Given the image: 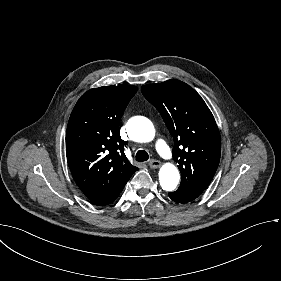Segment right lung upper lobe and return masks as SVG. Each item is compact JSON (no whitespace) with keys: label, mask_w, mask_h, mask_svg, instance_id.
<instances>
[{"label":"right lung upper lobe","mask_w":281,"mask_h":281,"mask_svg":"<svg viewBox=\"0 0 281 281\" xmlns=\"http://www.w3.org/2000/svg\"><path fill=\"white\" fill-rule=\"evenodd\" d=\"M137 87L90 89L76 103L66 131V155L72 176L90 199L128 180L138 170L124 154L119 122Z\"/></svg>","instance_id":"obj_1"}]
</instances>
